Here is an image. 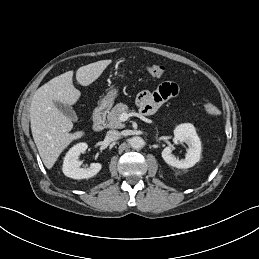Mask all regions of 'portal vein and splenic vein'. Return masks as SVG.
Returning a JSON list of instances; mask_svg holds the SVG:
<instances>
[{
    "label": "portal vein and splenic vein",
    "instance_id": "obj_1",
    "mask_svg": "<svg viewBox=\"0 0 259 259\" xmlns=\"http://www.w3.org/2000/svg\"><path fill=\"white\" fill-rule=\"evenodd\" d=\"M128 118H129V114H127V113H122V114L120 115V117H119V120H120L121 122H125V121L128 120Z\"/></svg>",
    "mask_w": 259,
    "mask_h": 259
}]
</instances>
